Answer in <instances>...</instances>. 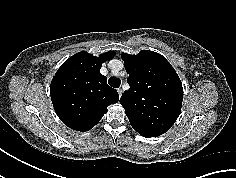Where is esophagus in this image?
Wrapping results in <instances>:
<instances>
[{"label":"esophagus","mask_w":236,"mask_h":178,"mask_svg":"<svg viewBox=\"0 0 236 178\" xmlns=\"http://www.w3.org/2000/svg\"><path fill=\"white\" fill-rule=\"evenodd\" d=\"M117 92H118V94H119V97H121V96H122V92H123L122 89H121V88H118V89H117Z\"/></svg>","instance_id":"34e87169"}]
</instances>
